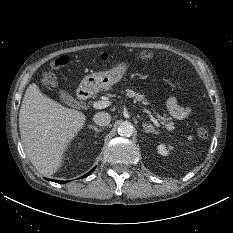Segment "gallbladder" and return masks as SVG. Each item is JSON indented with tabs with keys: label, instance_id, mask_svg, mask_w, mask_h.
Returning a JSON list of instances; mask_svg holds the SVG:
<instances>
[{
	"label": "gallbladder",
	"instance_id": "gallbladder-1",
	"mask_svg": "<svg viewBox=\"0 0 233 233\" xmlns=\"http://www.w3.org/2000/svg\"><path fill=\"white\" fill-rule=\"evenodd\" d=\"M60 99L67 105L71 107H77V100L73 98L69 93H67L65 90H59Z\"/></svg>",
	"mask_w": 233,
	"mask_h": 233
}]
</instances>
